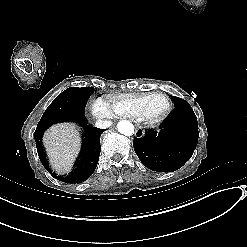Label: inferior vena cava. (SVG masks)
<instances>
[{
  "mask_svg": "<svg viewBox=\"0 0 247 247\" xmlns=\"http://www.w3.org/2000/svg\"><path fill=\"white\" fill-rule=\"evenodd\" d=\"M111 125H112V121L107 120V119H98L95 122V127L99 128V129H107Z\"/></svg>",
  "mask_w": 247,
  "mask_h": 247,
  "instance_id": "602c4592",
  "label": "inferior vena cava"
}]
</instances>
